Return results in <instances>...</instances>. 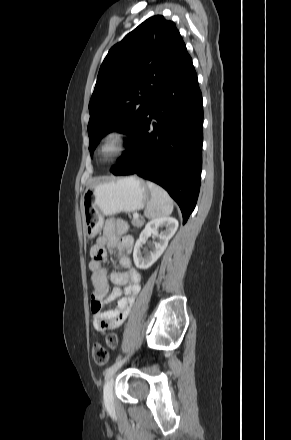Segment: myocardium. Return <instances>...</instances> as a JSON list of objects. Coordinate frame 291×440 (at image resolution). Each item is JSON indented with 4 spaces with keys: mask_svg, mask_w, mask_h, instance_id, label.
Instances as JSON below:
<instances>
[{
    "mask_svg": "<svg viewBox=\"0 0 291 440\" xmlns=\"http://www.w3.org/2000/svg\"><path fill=\"white\" fill-rule=\"evenodd\" d=\"M128 145V136L122 130L106 132L97 147V158L101 163L109 164L121 157Z\"/></svg>",
    "mask_w": 291,
    "mask_h": 440,
    "instance_id": "obj_1",
    "label": "myocardium"
}]
</instances>
